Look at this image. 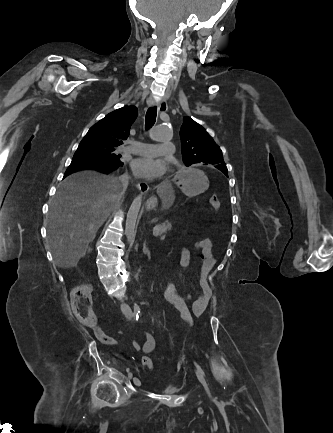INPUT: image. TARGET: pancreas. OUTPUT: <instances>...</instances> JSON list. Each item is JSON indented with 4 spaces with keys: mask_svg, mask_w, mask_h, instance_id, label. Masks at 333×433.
<instances>
[{
    "mask_svg": "<svg viewBox=\"0 0 333 433\" xmlns=\"http://www.w3.org/2000/svg\"><path fill=\"white\" fill-rule=\"evenodd\" d=\"M172 224L169 221H165L161 224H157L154 229L158 233L159 236L165 237L166 234L171 231Z\"/></svg>",
    "mask_w": 333,
    "mask_h": 433,
    "instance_id": "obj_1",
    "label": "pancreas"
}]
</instances>
